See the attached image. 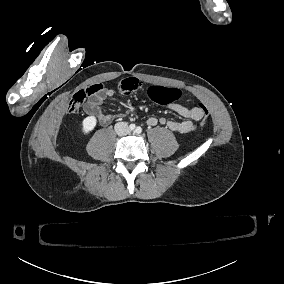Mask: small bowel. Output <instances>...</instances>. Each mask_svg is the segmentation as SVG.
Masks as SVG:
<instances>
[{"mask_svg":"<svg viewBox=\"0 0 284 284\" xmlns=\"http://www.w3.org/2000/svg\"><path fill=\"white\" fill-rule=\"evenodd\" d=\"M100 93H103L107 97H111L113 96L114 91L111 89L103 88ZM102 101L103 97L99 94L96 98L91 100L89 109L97 108L100 104H102ZM170 109L185 120L166 122L165 119L150 117L147 120V125L149 127H154L158 124H166V126L173 132L180 134L191 133L196 128V122L200 121L203 118L206 107L202 103L192 108H187L179 104H172L170 106ZM98 117L103 124L107 123L111 119V116L109 114L101 111L98 113Z\"/></svg>","mask_w":284,"mask_h":284,"instance_id":"small-bowel-1","label":"small bowel"}]
</instances>
